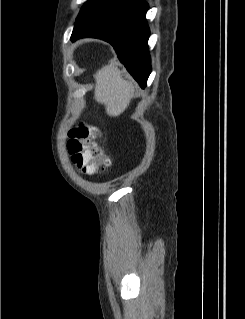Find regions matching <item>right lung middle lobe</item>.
<instances>
[{
	"label": "right lung middle lobe",
	"mask_w": 245,
	"mask_h": 319,
	"mask_svg": "<svg viewBox=\"0 0 245 319\" xmlns=\"http://www.w3.org/2000/svg\"><path fill=\"white\" fill-rule=\"evenodd\" d=\"M129 2L130 0H88L80 11L84 15L82 24L89 27Z\"/></svg>",
	"instance_id": "1"
}]
</instances>
